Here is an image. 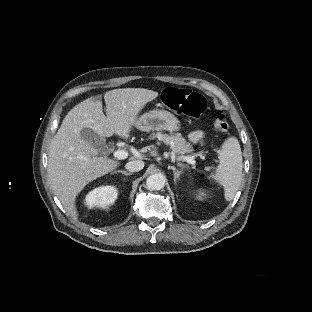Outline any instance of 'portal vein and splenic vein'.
<instances>
[{"label": "portal vein and splenic vein", "instance_id": "portal-vein-and-splenic-vein-1", "mask_svg": "<svg viewBox=\"0 0 312 312\" xmlns=\"http://www.w3.org/2000/svg\"><path fill=\"white\" fill-rule=\"evenodd\" d=\"M113 157L118 159V160H123L126 158L127 153L124 150H116L112 153ZM185 161H187L192 167L196 166V161L193 157L187 156L183 158Z\"/></svg>", "mask_w": 312, "mask_h": 312}]
</instances>
